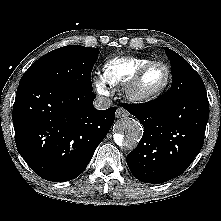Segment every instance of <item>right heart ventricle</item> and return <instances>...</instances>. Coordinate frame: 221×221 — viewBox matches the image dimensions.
I'll use <instances>...</instances> for the list:
<instances>
[{
	"instance_id": "1",
	"label": "right heart ventricle",
	"mask_w": 221,
	"mask_h": 221,
	"mask_svg": "<svg viewBox=\"0 0 221 221\" xmlns=\"http://www.w3.org/2000/svg\"><path fill=\"white\" fill-rule=\"evenodd\" d=\"M152 62L149 58L117 57L108 60L103 66L102 79L110 86L126 85L138 70Z\"/></svg>"
}]
</instances>
